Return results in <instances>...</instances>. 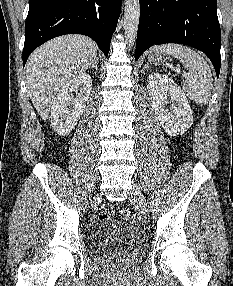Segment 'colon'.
<instances>
[{"instance_id":"colon-1","label":"colon","mask_w":233,"mask_h":286,"mask_svg":"<svg viewBox=\"0 0 233 286\" xmlns=\"http://www.w3.org/2000/svg\"><path fill=\"white\" fill-rule=\"evenodd\" d=\"M115 216H116V212L111 205H104L101 208L99 215H98L99 219H101V220L115 218ZM121 217L124 220L129 221L131 223H137L138 222V217L128 210L122 211Z\"/></svg>"}]
</instances>
